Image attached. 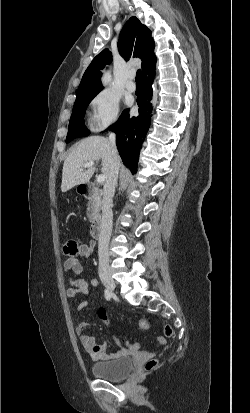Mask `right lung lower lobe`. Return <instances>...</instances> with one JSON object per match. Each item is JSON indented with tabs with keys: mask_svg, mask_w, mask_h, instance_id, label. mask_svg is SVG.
Returning <instances> with one entry per match:
<instances>
[{
	"mask_svg": "<svg viewBox=\"0 0 250 413\" xmlns=\"http://www.w3.org/2000/svg\"><path fill=\"white\" fill-rule=\"evenodd\" d=\"M154 70L143 76V92L137 99L139 116L130 117L129 109L123 111L118 121L108 129L116 133V145L123 163L136 173L139 151L149 130L152 105V80Z\"/></svg>",
	"mask_w": 250,
	"mask_h": 413,
	"instance_id": "98d812e1",
	"label": "right lung lower lobe"
}]
</instances>
